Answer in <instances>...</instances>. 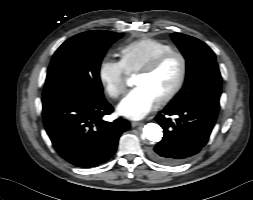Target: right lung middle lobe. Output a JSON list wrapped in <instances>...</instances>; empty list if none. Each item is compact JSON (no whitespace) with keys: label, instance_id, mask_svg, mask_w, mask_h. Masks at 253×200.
Segmentation results:
<instances>
[{"label":"right lung middle lobe","instance_id":"right-lung-middle-lobe-1","mask_svg":"<svg viewBox=\"0 0 253 200\" xmlns=\"http://www.w3.org/2000/svg\"><path fill=\"white\" fill-rule=\"evenodd\" d=\"M122 36L123 33L88 31L65 41L51 60L43 98L103 99L100 64L107 49Z\"/></svg>","mask_w":253,"mask_h":200}]
</instances>
